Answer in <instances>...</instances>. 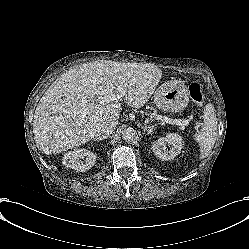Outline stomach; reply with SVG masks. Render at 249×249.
<instances>
[{"instance_id": "obj_1", "label": "stomach", "mask_w": 249, "mask_h": 249, "mask_svg": "<svg viewBox=\"0 0 249 249\" xmlns=\"http://www.w3.org/2000/svg\"><path fill=\"white\" fill-rule=\"evenodd\" d=\"M154 102L166 112L182 111L189 102L187 87L180 82H167L154 92Z\"/></svg>"}]
</instances>
